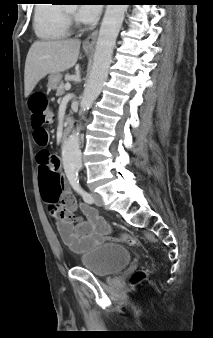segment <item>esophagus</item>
Returning <instances> with one entry per match:
<instances>
[{"instance_id": "34e87169", "label": "esophagus", "mask_w": 213, "mask_h": 338, "mask_svg": "<svg viewBox=\"0 0 213 338\" xmlns=\"http://www.w3.org/2000/svg\"><path fill=\"white\" fill-rule=\"evenodd\" d=\"M97 35H98V31L97 30L93 31L87 37V39L83 42V46L84 47H93L96 43Z\"/></svg>"}]
</instances>
